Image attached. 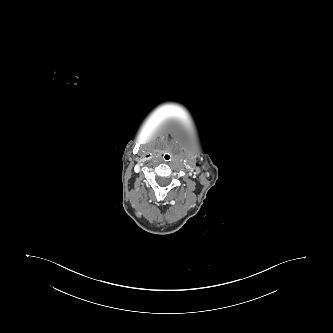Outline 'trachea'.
Here are the masks:
<instances>
[{"mask_svg": "<svg viewBox=\"0 0 333 333\" xmlns=\"http://www.w3.org/2000/svg\"><path fill=\"white\" fill-rule=\"evenodd\" d=\"M163 160H164V162L166 163V164H171L172 163V156H171V154H169V153H166V154H164V156H163Z\"/></svg>", "mask_w": 333, "mask_h": 333, "instance_id": "obj_1", "label": "trachea"}]
</instances>
